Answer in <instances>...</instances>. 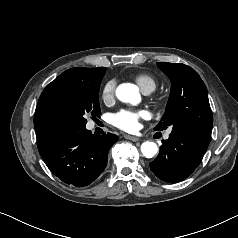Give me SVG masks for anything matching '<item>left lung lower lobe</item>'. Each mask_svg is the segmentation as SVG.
I'll use <instances>...</instances> for the list:
<instances>
[{
	"label": "left lung lower lobe",
	"mask_w": 238,
	"mask_h": 238,
	"mask_svg": "<svg viewBox=\"0 0 238 238\" xmlns=\"http://www.w3.org/2000/svg\"><path fill=\"white\" fill-rule=\"evenodd\" d=\"M210 137L186 131H172L162 141L157 158L150 163L153 173L163 181L184 180L198 167L209 145Z\"/></svg>",
	"instance_id": "obj_1"
}]
</instances>
